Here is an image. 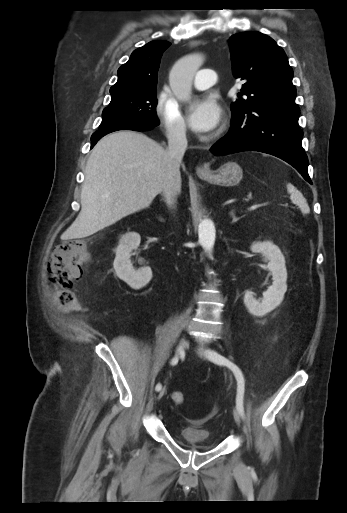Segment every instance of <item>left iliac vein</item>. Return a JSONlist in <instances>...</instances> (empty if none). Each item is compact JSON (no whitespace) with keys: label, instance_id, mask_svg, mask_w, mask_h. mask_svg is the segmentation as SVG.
Listing matches in <instances>:
<instances>
[{"label":"left iliac vein","instance_id":"4c4485c4","mask_svg":"<svg viewBox=\"0 0 347 513\" xmlns=\"http://www.w3.org/2000/svg\"><path fill=\"white\" fill-rule=\"evenodd\" d=\"M198 354H199L201 357H203V358H205V357H206V355H207V353L203 350V348H202V347H200V348L198 349ZM233 417H234V420H235V422L237 423V425H240V423H241V416H240V413L238 412V410H237L236 408L233 410ZM242 467H243V464H240V465H239V468H242Z\"/></svg>","mask_w":347,"mask_h":513}]
</instances>
